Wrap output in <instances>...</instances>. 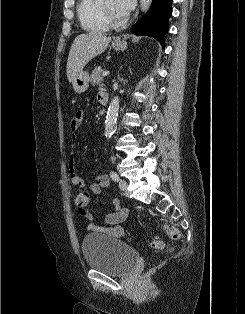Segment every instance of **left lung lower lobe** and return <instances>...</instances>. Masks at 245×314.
Segmentation results:
<instances>
[{
    "label": "left lung lower lobe",
    "mask_w": 245,
    "mask_h": 314,
    "mask_svg": "<svg viewBox=\"0 0 245 314\" xmlns=\"http://www.w3.org/2000/svg\"><path fill=\"white\" fill-rule=\"evenodd\" d=\"M172 1L153 0L150 10L132 27V33L154 37L164 46V35L168 32V19L172 14Z\"/></svg>",
    "instance_id": "obj_1"
}]
</instances>
